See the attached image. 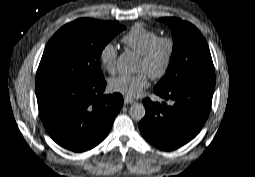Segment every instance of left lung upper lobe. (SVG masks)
<instances>
[{"mask_svg": "<svg viewBox=\"0 0 255 177\" xmlns=\"http://www.w3.org/2000/svg\"><path fill=\"white\" fill-rule=\"evenodd\" d=\"M172 30L173 52L166 75L154 89L166 91L195 79H215L206 40L191 23L177 18H161Z\"/></svg>", "mask_w": 255, "mask_h": 177, "instance_id": "5c2ea615", "label": "left lung upper lobe"}]
</instances>
